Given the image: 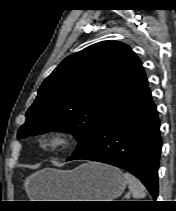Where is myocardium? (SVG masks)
<instances>
[{"label":"myocardium","mask_w":176,"mask_h":211,"mask_svg":"<svg viewBox=\"0 0 176 211\" xmlns=\"http://www.w3.org/2000/svg\"><path fill=\"white\" fill-rule=\"evenodd\" d=\"M71 137L62 130L54 129L43 132L38 137V145L44 152H57L70 147Z\"/></svg>","instance_id":"myocardium-1"}]
</instances>
